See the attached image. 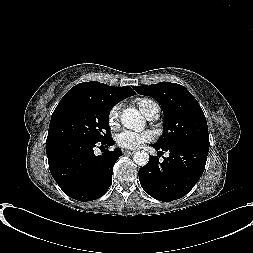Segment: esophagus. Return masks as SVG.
<instances>
[{"label":"esophagus","mask_w":253,"mask_h":253,"mask_svg":"<svg viewBox=\"0 0 253 253\" xmlns=\"http://www.w3.org/2000/svg\"><path fill=\"white\" fill-rule=\"evenodd\" d=\"M135 153V150H123L124 155H132Z\"/></svg>","instance_id":"34e87169"}]
</instances>
